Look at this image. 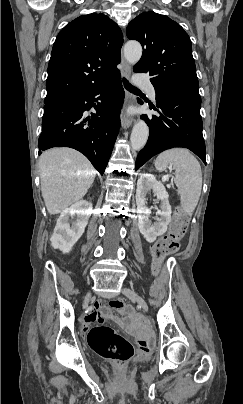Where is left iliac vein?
<instances>
[{"label": "left iliac vein", "mask_w": 243, "mask_h": 404, "mask_svg": "<svg viewBox=\"0 0 243 404\" xmlns=\"http://www.w3.org/2000/svg\"><path fill=\"white\" fill-rule=\"evenodd\" d=\"M122 293L125 296H127L128 298H130L131 300L136 301L144 311L147 312L149 310L146 301L140 295H138L134 290L129 289V288H123Z\"/></svg>", "instance_id": "4c4485c4"}]
</instances>
